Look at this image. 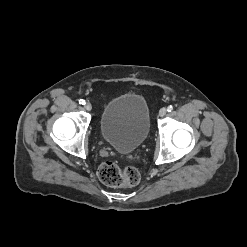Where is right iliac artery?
<instances>
[{"mask_svg":"<svg viewBox=\"0 0 247 247\" xmlns=\"http://www.w3.org/2000/svg\"><path fill=\"white\" fill-rule=\"evenodd\" d=\"M79 104L84 105V104H85V100L80 99V100H79Z\"/></svg>","mask_w":247,"mask_h":247,"instance_id":"right-iliac-artery-1","label":"right iliac artery"}]
</instances>
